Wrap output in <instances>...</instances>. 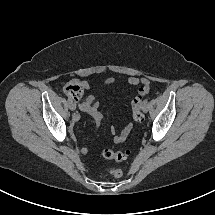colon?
Here are the masks:
<instances>
[{
    "label": "colon",
    "mask_w": 215,
    "mask_h": 215,
    "mask_svg": "<svg viewBox=\"0 0 215 215\" xmlns=\"http://www.w3.org/2000/svg\"><path fill=\"white\" fill-rule=\"evenodd\" d=\"M64 92L68 97L77 100L78 98L81 97L83 93L82 82L77 79L69 80L64 86ZM147 93H148V88L143 86L138 90V94L132 100L133 118L135 122L139 124H141L144 120L143 114L141 112V105H142L144 96ZM129 155H130V152L128 150L114 151L111 149H106L103 152V156L106 159L114 160V161H123L126 158H128ZM107 172L110 176L114 178H119L123 175L122 169L118 167H108Z\"/></svg>",
    "instance_id": "colon-1"
}]
</instances>
